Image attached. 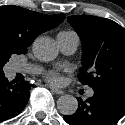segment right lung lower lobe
<instances>
[{
  "instance_id": "right-lung-lower-lobe-1",
  "label": "right lung lower lobe",
  "mask_w": 125,
  "mask_h": 125,
  "mask_svg": "<svg viewBox=\"0 0 125 125\" xmlns=\"http://www.w3.org/2000/svg\"><path fill=\"white\" fill-rule=\"evenodd\" d=\"M35 85L29 82H9L4 74L0 75V122L18 115L26 106L30 89Z\"/></svg>"
}]
</instances>
